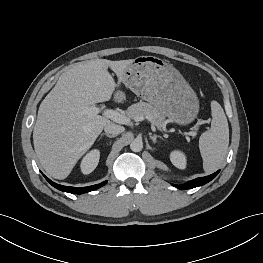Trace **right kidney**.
Wrapping results in <instances>:
<instances>
[{"label": "right kidney", "instance_id": "ca27d5eb", "mask_svg": "<svg viewBox=\"0 0 263 263\" xmlns=\"http://www.w3.org/2000/svg\"><path fill=\"white\" fill-rule=\"evenodd\" d=\"M100 158V151L93 149L87 153L80 164L81 171L83 174H90L97 167Z\"/></svg>", "mask_w": 263, "mask_h": 263}]
</instances>
